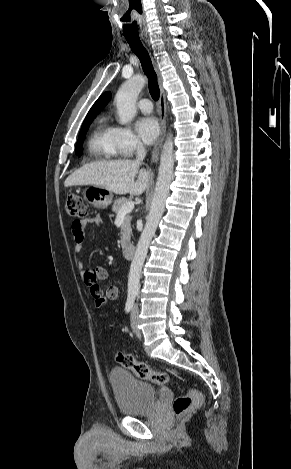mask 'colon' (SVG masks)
<instances>
[{
  "label": "colon",
  "instance_id": "5ec220e1",
  "mask_svg": "<svg viewBox=\"0 0 291 469\" xmlns=\"http://www.w3.org/2000/svg\"><path fill=\"white\" fill-rule=\"evenodd\" d=\"M66 211L73 218H84L87 214V209L83 198L76 193L70 194L66 201ZM93 303L97 311H102L107 305L103 295L95 296ZM114 357L117 363L131 370L139 379L149 380L155 385H166L171 382V377L168 373L152 369L147 363L137 361L132 354L116 352ZM202 400V395L197 390L191 389L186 394L175 399L173 403L174 413L177 416H181L200 406Z\"/></svg>",
  "mask_w": 291,
  "mask_h": 469
}]
</instances>
